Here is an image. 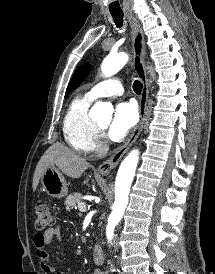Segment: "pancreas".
Returning a JSON list of instances; mask_svg holds the SVG:
<instances>
[{
    "label": "pancreas",
    "mask_w": 215,
    "mask_h": 274,
    "mask_svg": "<svg viewBox=\"0 0 215 274\" xmlns=\"http://www.w3.org/2000/svg\"><path fill=\"white\" fill-rule=\"evenodd\" d=\"M81 202L82 200L79 193L70 194L65 200L66 210H73L76 207V205H78Z\"/></svg>",
    "instance_id": "cf45deb5"
}]
</instances>
